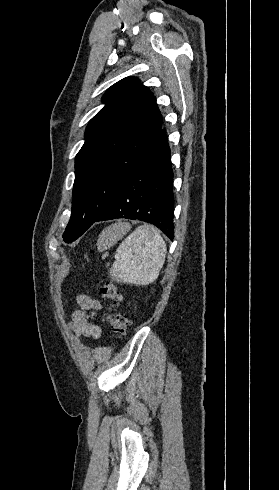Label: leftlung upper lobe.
I'll return each instance as SVG.
<instances>
[{
	"label": "left lung upper lobe",
	"mask_w": 279,
	"mask_h": 490,
	"mask_svg": "<svg viewBox=\"0 0 279 490\" xmlns=\"http://www.w3.org/2000/svg\"><path fill=\"white\" fill-rule=\"evenodd\" d=\"M106 104L89 122L75 158L70 221L63 239H78L112 204L134 165L162 128L151 91L135 77L111 86Z\"/></svg>",
	"instance_id": "5c2ea615"
}]
</instances>
